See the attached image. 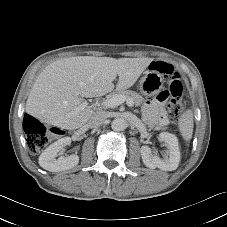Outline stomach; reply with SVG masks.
Returning a JSON list of instances; mask_svg holds the SVG:
<instances>
[{"mask_svg":"<svg viewBox=\"0 0 227 227\" xmlns=\"http://www.w3.org/2000/svg\"><path fill=\"white\" fill-rule=\"evenodd\" d=\"M163 88V79L155 70H147L139 80V89L143 95L154 96Z\"/></svg>","mask_w":227,"mask_h":227,"instance_id":"obj_1","label":"stomach"}]
</instances>
